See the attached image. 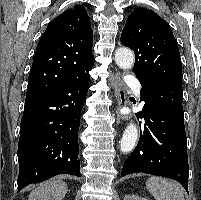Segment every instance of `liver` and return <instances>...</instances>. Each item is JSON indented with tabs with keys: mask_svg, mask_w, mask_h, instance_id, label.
Segmentation results:
<instances>
[{
	"mask_svg": "<svg viewBox=\"0 0 201 200\" xmlns=\"http://www.w3.org/2000/svg\"><path fill=\"white\" fill-rule=\"evenodd\" d=\"M67 189V184L64 181L52 179L33 190L28 200H63Z\"/></svg>",
	"mask_w": 201,
	"mask_h": 200,
	"instance_id": "obj_1",
	"label": "liver"
}]
</instances>
